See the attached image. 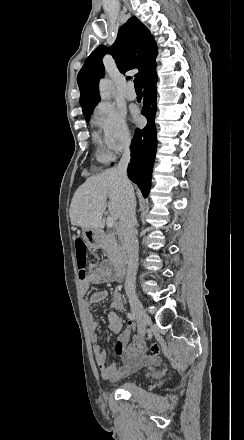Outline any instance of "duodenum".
Returning a JSON list of instances; mask_svg holds the SVG:
<instances>
[{"label": "duodenum", "instance_id": "410a0bca", "mask_svg": "<svg viewBox=\"0 0 244 440\" xmlns=\"http://www.w3.org/2000/svg\"><path fill=\"white\" fill-rule=\"evenodd\" d=\"M98 236H99L98 233L95 232L94 233V238H93L94 242H97ZM128 263H129V256H127V255L120 256L117 259L116 263L114 264V268H115L116 272L121 274V275H124V273L127 270Z\"/></svg>", "mask_w": 244, "mask_h": 440}]
</instances>
